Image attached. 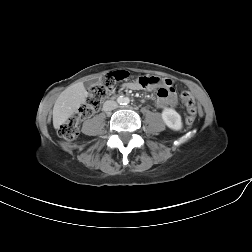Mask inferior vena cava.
Returning <instances> with one entry per match:
<instances>
[{
  "label": "inferior vena cava",
  "instance_id": "obj_1",
  "mask_svg": "<svg viewBox=\"0 0 252 252\" xmlns=\"http://www.w3.org/2000/svg\"><path fill=\"white\" fill-rule=\"evenodd\" d=\"M117 103L113 100H108L103 104L104 111H112L117 108Z\"/></svg>",
  "mask_w": 252,
  "mask_h": 252
}]
</instances>
